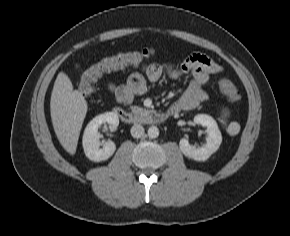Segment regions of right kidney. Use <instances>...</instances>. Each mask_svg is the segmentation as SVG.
<instances>
[{"label":"right kidney","instance_id":"right-kidney-1","mask_svg":"<svg viewBox=\"0 0 290 236\" xmlns=\"http://www.w3.org/2000/svg\"><path fill=\"white\" fill-rule=\"evenodd\" d=\"M107 123L111 130H115L119 125V118L113 112H107L94 117L86 126L82 138L84 153L88 159L94 162L105 161L110 158L115 150L116 145L112 141L105 143L100 142L98 128ZM103 145L102 148L100 146Z\"/></svg>","mask_w":290,"mask_h":236}]
</instances>
